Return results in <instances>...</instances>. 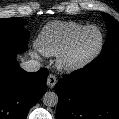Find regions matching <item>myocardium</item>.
Listing matches in <instances>:
<instances>
[{"label":"myocardium","instance_id":"myocardium-1","mask_svg":"<svg viewBox=\"0 0 119 119\" xmlns=\"http://www.w3.org/2000/svg\"><path fill=\"white\" fill-rule=\"evenodd\" d=\"M96 30L99 33V44L97 48L89 55L83 58L74 57L75 48L80 39L89 31ZM104 46V35L101 29L97 26H86L75 35L66 49L59 55L58 66L66 72H74L86 67L90 64L102 51Z\"/></svg>","mask_w":119,"mask_h":119}]
</instances>
